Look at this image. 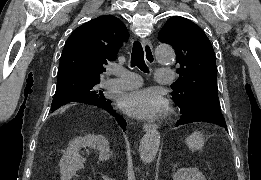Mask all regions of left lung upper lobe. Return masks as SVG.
<instances>
[{"instance_id":"left-lung-upper-lobe-1","label":"left lung upper lobe","mask_w":261,"mask_h":180,"mask_svg":"<svg viewBox=\"0 0 261 180\" xmlns=\"http://www.w3.org/2000/svg\"><path fill=\"white\" fill-rule=\"evenodd\" d=\"M160 42L170 44L176 52L175 104H200L220 109L217 93V67L213 48L204 31L192 21L173 16L159 32Z\"/></svg>"}]
</instances>
